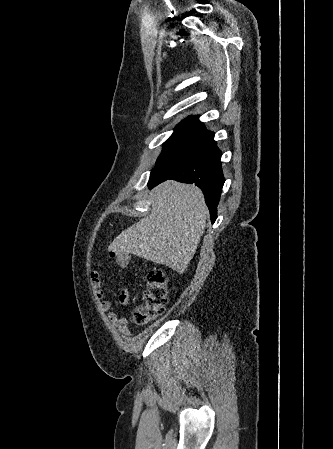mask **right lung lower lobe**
Here are the masks:
<instances>
[{"instance_id":"obj_1","label":"right lung lower lobe","mask_w":333,"mask_h":449,"mask_svg":"<svg viewBox=\"0 0 333 449\" xmlns=\"http://www.w3.org/2000/svg\"><path fill=\"white\" fill-rule=\"evenodd\" d=\"M220 157L221 151L214 141V133L201 131L152 170L148 185L153 187L167 179L195 183L205 196L211 221L214 223L225 182Z\"/></svg>"}]
</instances>
